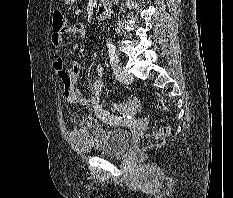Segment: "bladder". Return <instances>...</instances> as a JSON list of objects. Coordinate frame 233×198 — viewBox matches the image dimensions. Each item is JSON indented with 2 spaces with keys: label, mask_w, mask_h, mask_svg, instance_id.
<instances>
[{
  "label": "bladder",
  "mask_w": 233,
  "mask_h": 198,
  "mask_svg": "<svg viewBox=\"0 0 233 198\" xmlns=\"http://www.w3.org/2000/svg\"><path fill=\"white\" fill-rule=\"evenodd\" d=\"M73 144L85 153L119 156L127 149L131 133L124 128H106L95 122H83L71 133Z\"/></svg>",
  "instance_id": "bladder-1"
}]
</instances>
